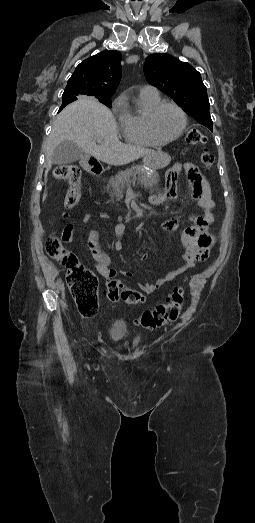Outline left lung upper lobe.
<instances>
[{
	"label": "left lung upper lobe",
	"mask_w": 255,
	"mask_h": 523,
	"mask_svg": "<svg viewBox=\"0 0 255 523\" xmlns=\"http://www.w3.org/2000/svg\"><path fill=\"white\" fill-rule=\"evenodd\" d=\"M144 73L149 84L173 98L197 122L213 131L207 90L198 71L188 63L158 53L146 58Z\"/></svg>",
	"instance_id": "1"
}]
</instances>
